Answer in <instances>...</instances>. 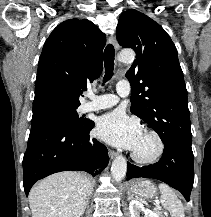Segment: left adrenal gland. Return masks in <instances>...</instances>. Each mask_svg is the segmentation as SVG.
Segmentation results:
<instances>
[{"label":"left adrenal gland","instance_id":"obj_1","mask_svg":"<svg viewBox=\"0 0 211 217\" xmlns=\"http://www.w3.org/2000/svg\"><path fill=\"white\" fill-rule=\"evenodd\" d=\"M133 197H134V195L131 194V192L128 191V200H130V199L133 198Z\"/></svg>","mask_w":211,"mask_h":217}]
</instances>
